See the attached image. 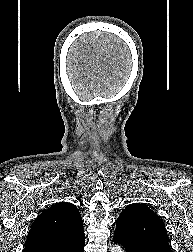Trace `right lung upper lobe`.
<instances>
[{
  "instance_id": "obj_1",
  "label": "right lung upper lobe",
  "mask_w": 193,
  "mask_h": 252,
  "mask_svg": "<svg viewBox=\"0 0 193 252\" xmlns=\"http://www.w3.org/2000/svg\"><path fill=\"white\" fill-rule=\"evenodd\" d=\"M84 237L81 215L72 203L59 202L32 223L23 252H56Z\"/></svg>"
}]
</instances>
